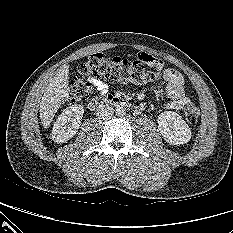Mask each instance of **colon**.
Listing matches in <instances>:
<instances>
[{
  "mask_svg": "<svg viewBox=\"0 0 233 233\" xmlns=\"http://www.w3.org/2000/svg\"><path fill=\"white\" fill-rule=\"evenodd\" d=\"M138 57L130 61L120 57H110L104 53H94L80 64L70 83L69 99L80 102L92 93L90 79L103 78L112 83L143 84L158 78L159 74L148 69ZM184 115L187 122L194 124L199 119V109L192 103L186 105Z\"/></svg>",
  "mask_w": 233,
  "mask_h": 233,
  "instance_id": "5ec220e1",
  "label": "colon"
}]
</instances>
